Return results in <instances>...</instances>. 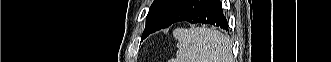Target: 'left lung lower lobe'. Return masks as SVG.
<instances>
[{"label":"left lung lower lobe","mask_w":331,"mask_h":62,"mask_svg":"<svg viewBox=\"0 0 331 62\" xmlns=\"http://www.w3.org/2000/svg\"><path fill=\"white\" fill-rule=\"evenodd\" d=\"M181 21H187L192 24H212L228 30V22L223 15L219 0H185L171 15L162 29ZM149 34L150 32H143L142 39Z\"/></svg>","instance_id":"obj_1"}]
</instances>
